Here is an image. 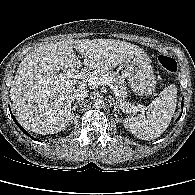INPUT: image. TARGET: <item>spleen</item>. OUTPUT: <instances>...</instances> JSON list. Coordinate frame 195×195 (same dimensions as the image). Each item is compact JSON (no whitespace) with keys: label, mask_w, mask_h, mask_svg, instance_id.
Returning <instances> with one entry per match:
<instances>
[{"label":"spleen","mask_w":195,"mask_h":195,"mask_svg":"<svg viewBox=\"0 0 195 195\" xmlns=\"http://www.w3.org/2000/svg\"><path fill=\"white\" fill-rule=\"evenodd\" d=\"M177 103V88L170 85L160 92L147 111L128 117L124 126L138 138L153 140L159 137L168 127L175 112Z\"/></svg>","instance_id":"1"}]
</instances>
